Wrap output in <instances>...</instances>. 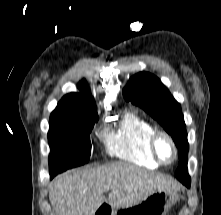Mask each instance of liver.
I'll use <instances>...</instances> for the list:
<instances>
[{
  "instance_id": "6515ba94",
  "label": "liver",
  "mask_w": 221,
  "mask_h": 215,
  "mask_svg": "<svg viewBox=\"0 0 221 215\" xmlns=\"http://www.w3.org/2000/svg\"><path fill=\"white\" fill-rule=\"evenodd\" d=\"M179 188L173 178L117 162L57 176L49 186V199L56 215H94L104 201L112 209L126 208L157 190Z\"/></svg>"
}]
</instances>
